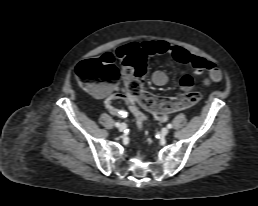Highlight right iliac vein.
I'll list each match as a JSON object with an SVG mask.
<instances>
[{"label": "right iliac vein", "mask_w": 258, "mask_h": 206, "mask_svg": "<svg viewBox=\"0 0 258 206\" xmlns=\"http://www.w3.org/2000/svg\"><path fill=\"white\" fill-rule=\"evenodd\" d=\"M126 124L122 123L120 126H119V131L123 132L125 129H126Z\"/></svg>", "instance_id": "obj_1"}]
</instances>
